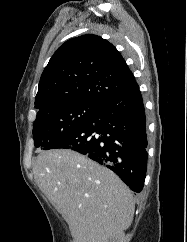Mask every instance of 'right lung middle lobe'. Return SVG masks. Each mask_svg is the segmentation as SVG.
<instances>
[{
    "mask_svg": "<svg viewBox=\"0 0 187 242\" xmlns=\"http://www.w3.org/2000/svg\"><path fill=\"white\" fill-rule=\"evenodd\" d=\"M99 108L96 104L73 102L38 114L33 124L35 147L46 149L87 121Z\"/></svg>",
    "mask_w": 187,
    "mask_h": 242,
    "instance_id": "right-lung-middle-lobe-1",
    "label": "right lung middle lobe"
}]
</instances>
